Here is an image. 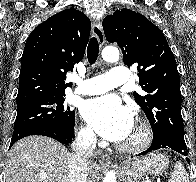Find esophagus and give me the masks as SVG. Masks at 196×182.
I'll return each mask as SVG.
<instances>
[{"instance_id":"34e87169","label":"esophagus","mask_w":196,"mask_h":182,"mask_svg":"<svg viewBox=\"0 0 196 182\" xmlns=\"http://www.w3.org/2000/svg\"><path fill=\"white\" fill-rule=\"evenodd\" d=\"M92 36L95 37L100 45L104 44L105 41V36L102 28V24L100 21H94L92 24ZM99 163L102 165H110L111 164V159L108 155L99 153L98 156Z\"/></svg>"}]
</instances>
